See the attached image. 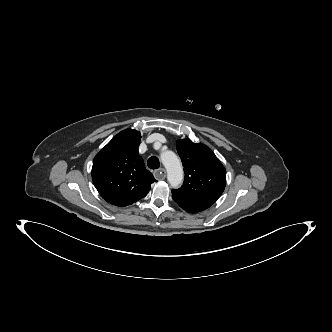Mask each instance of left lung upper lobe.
I'll return each mask as SVG.
<instances>
[{"label":"left lung upper lobe","instance_id":"5c2ea615","mask_svg":"<svg viewBox=\"0 0 332 332\" xmlns=\"http://www.w3.org/2000/svg\"><path fill=\"white\" fill-rule=\"evenodd\" d=\"M185 179L181 188L172 190L174 201L185 211L201 212L212 206L226 185V170L211 149L189 139L176 144Z\"/></svg>","mask_w":332,"mask_h":332}]
</instances>
